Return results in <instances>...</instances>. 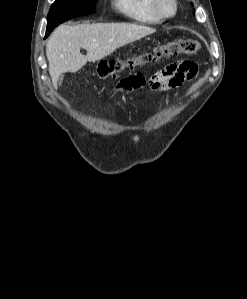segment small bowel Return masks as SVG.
<instances>
[{
    "instance_id": "c3829d8e",
    "label": "small bowel",
    "mask_w": 247,
    "mask_h": 299,
    "mask_svg": "<svg viewBox=\"0 0 247 299\" xmlns=\"http://www.w3.org/2000/svg\"><path fill=\"white\" fill-rule=\"evenodd\" d=\"M197 63L192 60H182L161 67L147 80L142 74H135L122 79L118 90L131 91L147 85L152 91L166 93L174 91L185 81L191 80L197 73Z\"/></svg>"
}]
</instances>
